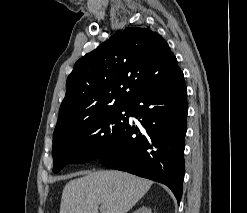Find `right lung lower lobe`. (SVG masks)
<instances>
[{
  "label": "right lung lower lobe",
  "instance_id": "98d812e1",
  "mask_svg": "<svg viewBox=\"0 0 247 213\" xmlns=\"http://www.w3.org/2000/svg\"><path fill=\"white\" fill-rule=\"evenodd\" d=\"M132 121L118 133L113 147L98 157L106 167L167 185L178 203L184 177L187 89L179 67L152 83L129 102Z\"/></svg>",
  "mask_w": 247,
  "mask_h": 213
}]
</instances>
